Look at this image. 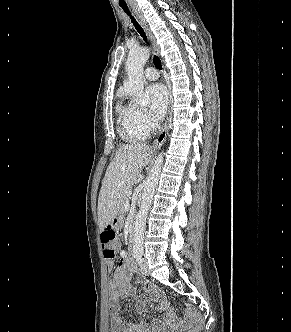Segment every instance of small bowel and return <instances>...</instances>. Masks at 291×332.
I'll use <instances>...</instances> for the list:
<instances>
[{"label":"small bowel","mask_w":291,"mask_h":332,"mask_svg":"<svg viewBox=\"0 0 291 332\" xmlns=\"http://www.w3.org/2000/svg\"><path fill=\"white\" fill-rule=\"evenodd\" d=\"M113 266L112 262L108 263V267ZM135 272L133 262L126 257L125 252L121 251L120 261L113 273V281L109 285L110 311L112 313L111 331L112 332H162L167 327L178 324V318L169 304L159 297L157 290L153 287L146 286L144 293L139 298L136 310L142 314L146 304L153 302L156 308L166 313V320H155L149 327L144 322L130 323L124 321L119 314V300L124 299L132 294L130 280Z\"/></svg>","instance_id":"1"}]
</instances>
